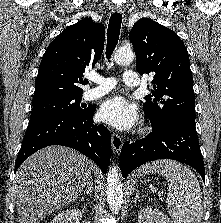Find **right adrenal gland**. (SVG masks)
I'll return each instance as SVG.
<instances>
[{"label":"right adrenal gland","instance_id":"1","mask_svg":"<svg viewBox=\"0 0 221 223\" xmlns=\"http://www.w3.org/2000/svg\"><path fill=\"white\" fill-rule=\"evenodd\" d=\"M83 194H93V182H92V178H90L87 187L85 188V190L81 193Z\"/></svg>","mask_w":221,"mask_h":223}]
</instances>
